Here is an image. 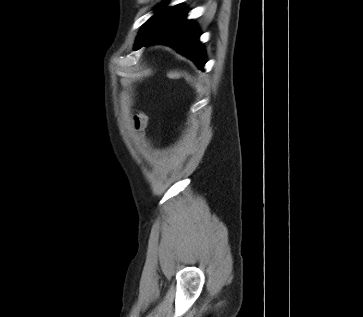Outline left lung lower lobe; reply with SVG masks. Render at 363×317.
I'll return each mask as SVG.
<instances>
[{
  "label": "left lung lower lobe",
  "instance_id": "left-lung-lower-lobe-1",
  "mask_svg": "<svg viewBox=\"0 0 363 317\" xmlns=\"http://www.w3.org/2000/svg\"><path fill=\"white\" fill-rule=\"evenodd\" d=\"M186 15L187 12L178 5L160 10L137 40L136 49L149 43L170 45L202 69L206 60L204 49L198 41L200 32L191 20H186Z\"/></svg>",
  "mask_w": 363,
  "mask_h": 317
}]
</instances>
